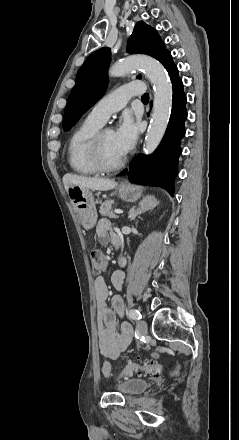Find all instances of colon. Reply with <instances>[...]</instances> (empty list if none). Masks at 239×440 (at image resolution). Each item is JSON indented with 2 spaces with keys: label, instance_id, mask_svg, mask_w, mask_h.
<instances>
[{
  "label": "colon",
  "instance_id": "colon-1",
  "mask_svg": "<svg viewBox=\"0 0 239 440\" xmlns=\"http://www.w3.org/2000/svg\"><path fill=\"white\" fill-rule=\"evenodd\" d=\"M91 263H92V268L95 273H99L102 271L103 258H102L101 252H99V251H92L91 252ZM159 368H160V364L155 360H150V361H146V362H142V363L130 361L125 366V368L121 374V378L125 379V378L131 376L133 373H138V374L156 373V372H158ZM103 373L106 376H110V374H111V365L108 361H106L103 365Z\"/></svg>",
  "mask_w": 239,
  "mask_h": 440
}]
</instances>
